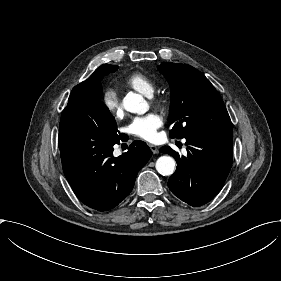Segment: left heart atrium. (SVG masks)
I'll return each mask as SVG.
<instances>
[{
  "mask_svg": "<svg viewBox=\"0 0 281 281\" xmlns=\"http://www.w3.org/2000/svg\"><path fill=\"white\" fill-rule=\"evenodd\" d=\"M163 126V118L156 112L133 118L126 130L132 136L154 142L159 138L158 129Z\"/></svg>",
  "mask_w": 281,
  "mask_h": 281,
  "instance_id": "39dd6f15",
  "label": "left heart atrium"
}]
</instances>
